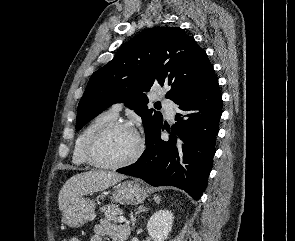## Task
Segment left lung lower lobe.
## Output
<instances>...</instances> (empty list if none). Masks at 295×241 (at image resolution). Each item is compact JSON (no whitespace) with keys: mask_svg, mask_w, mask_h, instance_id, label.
<instances>
[{"mask_svg":"<svg viewBox=\"0 0 295 241\" xmlns=\"http://www.w3.org/2000/svg\"><path fill=\"white\" fill-rule=\"evenodd\" d=\"M175 103L179 105L176 124L171 129L161 125L140 159L117 172L141 178L152 186L178 187L198 200L207 187L222 115L216 74ZM165 128L168 141L160 137Z\"/></svg>","mask_w":295,"mask_h":241,"instance_id":"0a47b994","label":"left lung lower lobe"}]
</instances>
